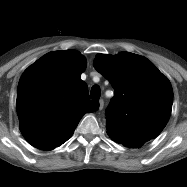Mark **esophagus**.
Listing matches in <instances>:
<instances>
[{
  "mask_svg": "<svg viewBox=\"0 0 187 187\" xmlns=\"http://www.w3.org/2000/svg\"><path fill=\"white\" fill-rule=\"evenodd\" d=\"M103 106H104V101H103V99H100L99 100V110H102Z\"/></svg>",
  "mask_w": 187,
  "mask_h": 187,
  "instance_id": "34e87169",
  "label": "esophagus"
}]
</instances>
